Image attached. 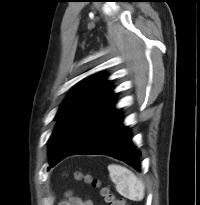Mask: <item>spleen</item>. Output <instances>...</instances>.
I'll list each match as a JSON object with an SVG mask.
<instances>
[{"instance_id":"3e777b00","label":"spleen","mask_w":200,"mask_h":205,"mask_svg":"<svg viewBox=\"0 0 200 205\" xmlns=\"http://www.w3.org/2000/svg\"><path fill=\"white\" fill-rule=\"evenodd\" d=\"M108 170L119 194L134 201L144 198V184L132 171L117 164H110Z\"/></svg>"}]
</instances>
